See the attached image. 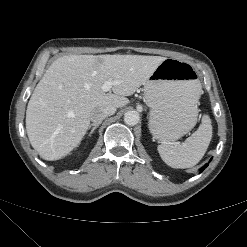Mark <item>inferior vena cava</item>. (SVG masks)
Wrapping results in <instances>:
<instances>
[{"mask_svg": "<svg viewBox=\"0 0 247 247\" xmlns=\"http://www.w3.org/2000/svg\"><path fill=\"white\" fill-rule=\"evenodd\" d=\"M115 112L116 108L114 106H109L104 109H96L92 111L90 115V120L94 123H101L103 119L113 115Z\"/></svg>", "mask_w": 247, "mask_h": 247, "instance_id": "1", "label": "inferior vena cava"}]
</instances>
